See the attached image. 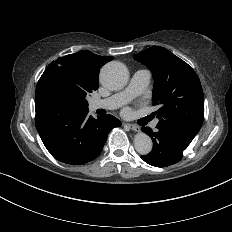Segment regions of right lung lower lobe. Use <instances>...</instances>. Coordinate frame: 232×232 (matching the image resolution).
<instances>
[{"label": "right lung lower lobe", "instance_id": "right-lung-lower-lobe-1", "mask_svg": "<svg viewBox=\"0 0 232 232\" xmlns=\"http://www.w3.org/2000/svg\"><path fill=\"white\" fill-rule=\"evenodd\" d=\"M37 131L50 154L72 165L85 164L102 151L108 133L121 122L112 115L88 116V109H77L40 97L35 99Z\"/></svg>", "mask_w": 232, "mask_h": 232}]
</instances>
